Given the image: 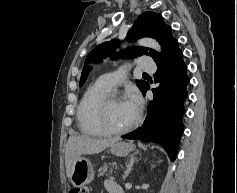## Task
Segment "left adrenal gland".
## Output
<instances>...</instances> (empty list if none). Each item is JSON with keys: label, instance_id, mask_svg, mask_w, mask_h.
Masks as SVG:
<instances>
[{"label": "left adrenal gland", "instance_id": "1", "mask_svg": "<svg viewBox=\"0 0 237 193\" xmlns=\"http://www.w3.org/2000/svg\"><path fill=\"white\" fill-rule=\"evenodd\" d=\"M136 154H138V151H136L133 155H131L128 162L126 163V171L124 172L123 179H126L127 176L130 174L133 164L139 161L135 157Z\"/></svg>", "mask_w": 237, "mask_h": 193}]
</instances>
